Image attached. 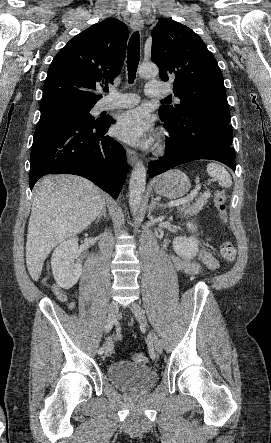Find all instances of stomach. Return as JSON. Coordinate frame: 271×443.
I'll list each match as a JSON object with an SVG mask.
<instances>
[{
    "instance_id": "1",
    "label": "stomach",
    "mask_w": 271,
    "mask_h": 443,
    "mask_svg": "<svg viewBox=\"0 0 271 443\" xmlns=\"http://www.w3.org/2000/svg\"><path fill=\"white\" fill-rule=\"evenodd\" d=\"M153 188L159 196L175 200V198H182L190 190V180L184 172L170 170V172L156 178Z\"/></svg>"
}]
</instances>
